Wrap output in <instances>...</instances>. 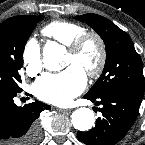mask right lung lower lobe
I'll use <instances>...</instances> for the list:
<instances>
[{"label":"right lung lower lobe","instance_id":"98d812e1","mask_svg":"<svg viewBox=\"0 0 145 145\" xmlns=\"http://www.w3.org/2000/svg\"><path fill=\"white\" fill-rule=\"evenodd\" d=\"M21 91L0 87V145H36L39 140V115L51 107L37 100L18 107L14 98Z\"/></svg>","mask_w":145,"mask_h":145}]
</instances>
